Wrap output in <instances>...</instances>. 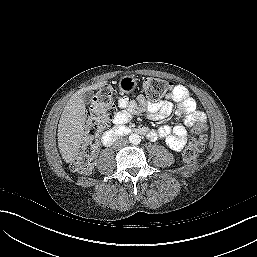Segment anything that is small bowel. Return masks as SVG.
I'll return each mask as SVG.
<instances>
[{"instance_id":"obj_1","label":"small bowel","mask_w":257,"mask_h":257,"mask_svg":"<svg viewBox=\"0 0 257 257\" xmlns=\"http://www.w3.org/2000/svg\"><path fill=\"white\" fill-rule=\"evenodd\" d=\"M171 101L177 103V116L184 117V124H202L205 122V115L198 110L196 101L190 96L189 91L182 85H176L168 94L167 100L163 102H149L143 95H136L133 100L127 97H118V111L113 118L115 125H125L133 114L147 111L152 117H168L173 110ZM158 137L165 138L167 144L174 150H181L187 140L188 133L184 125L178 124L174 127L163 126L157 131H151L149 138L155 140Z\"/></svg>"}]
</instances>
